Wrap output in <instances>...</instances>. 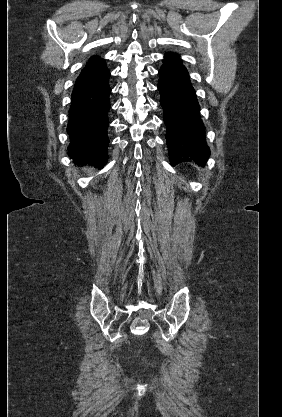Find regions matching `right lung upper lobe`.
Instances as JSON below:
<instances>
[{"label": "right lung upper lobe", "mask_w": 282, "mask_h": 417, "mask_svg": "<svg viewBox=\"0 0 282 417\" xmlns=\"http://www.w3.org/2000/svg\"><path fill=\"white\" fill-rule=\"evenodd\" d=\"M99 60H100V58L98 56H94L88 61L87 65H90V64H92L94 62H97Z\"/></svg>", "instance_id": "cb5924a9"}]
</instances>
